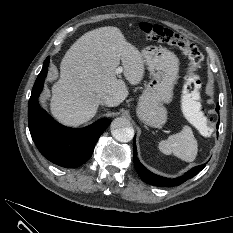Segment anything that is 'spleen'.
Instances as JSON below:
<instances>
[{"label":"spleen","mask_w":233,"mask_h":233,"mask_svg":"<svg viewBox=\"0 0 233 233\" xmlns=\"http://www.w3.org/2000/svg\"><path fill=\"white\" fill-rule=\"evenodd\" d=\"M195 119L199 121L201 115L198 114V106H195ZM159 150L166 154H173L186 162L195 160L198 152V143L189 126H183L182 130L170 135L168 139L159 142Z\"/></svg>","instance_id":"spleen-1"}]
</instances>
